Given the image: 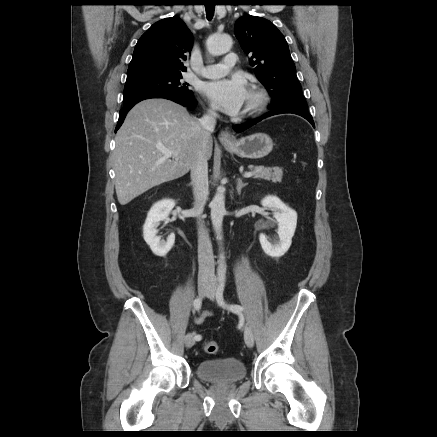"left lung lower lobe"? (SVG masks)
Listing matches in <instances>:
<instances>
[{"instance_id":"0a47b994","label":"left lung lower lobe","mask_w":437,"mask_h":437,"mask_svg":"<svg viewBox=\"0 0 437 437\" xmlns=\"http://www.w3.org/2000/svg\"><path fill=\"white\" fill-rule=\"evenodd\" d=\"M283 113H292V114L300 115L303 118L307 119L312 124V126L315 127L313 118L310 115V113L308 112V110H303V109H299V108H295V107H283V108L273 109L255 121L244 123L241 125H235L233 127V129L237 132H242V131L246 130L247 128L253 126L257 122L261 121L264 118H267V117H270L273 115H277V114H283Z\"/></svg>"}]
</instances>
